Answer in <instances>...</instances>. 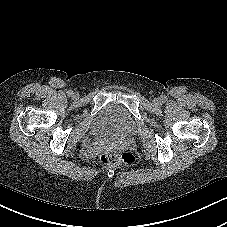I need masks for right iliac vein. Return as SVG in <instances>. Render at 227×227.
<instances>
[{"mask_svg":"<svg viewBox=\"0 0 227 227\" xmlns=\"http://www.w3.org/2000/svg\"><path fill=\"white\" fill-rule=\"evenodd\" d=\"M72 98H73V99H78V98H79V94H78V93H74V94L72 95Z\"/></svg>","mask_w":227,"mask_h":227,"instance_id":"right-iliac-vein-1","label":"right iliac vein"}]
</instances>
